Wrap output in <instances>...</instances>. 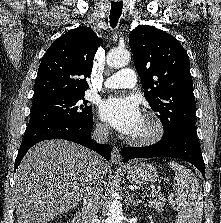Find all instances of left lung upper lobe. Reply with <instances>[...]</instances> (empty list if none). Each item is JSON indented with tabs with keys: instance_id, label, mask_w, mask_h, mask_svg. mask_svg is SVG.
<instances>
[{
	"instance_id": "1",
	"label": "left lung upper lobe",
	"mask_w": 221,
	"mask_h": 223,
	"mask_svg": "<svg viewBox=\"0 0 221 223\" xmlns=\"http://www.w3.org/2000/svg\"><path fill=\"white\" fill-rule=\"evenodd\" d=\"M129 43L144 96L158 113L163 137L195 127V97L187 52L172 35L148 25L130 32Z\"/></svg>"
}]
</instances>
